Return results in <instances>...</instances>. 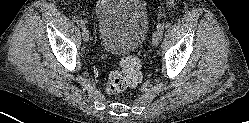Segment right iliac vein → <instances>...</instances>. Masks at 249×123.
Returning a JSON list of instances; mask_svg holds the SVG:
<instances>
[{
    "mask_svg": "<svg viewBox=\"0 0 249 123\" xmlns=\"http://www.w3.org/2000/svg\"><path fill=\"white\" fill-rule=\"evenodd\" d=\"M89 31H88V29L87 28H83L82 29V38H83V40H84V42H88L89 41Z\"/></svg>",
    "mask_w": 249,
    "mask_h": 123,
    "instance_id": "63e3f726",
    "label": "right iliac vein"
}]
</instances>
